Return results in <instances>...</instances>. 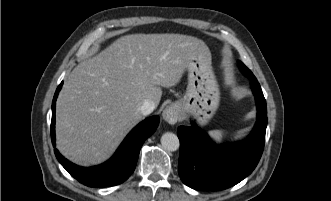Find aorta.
Segmentation results:
<instances>
[{"label":"aorta","instance_id":"obj_1","mask_svg":"<svg viewBox=\"0 0 331 201\" xmlns=\"http://www.w3.org/2000/svg\"><path fill=\"white\" fill-rule=\"evenodd\" d=\"M161 145L167 151H176L179 148V139L177 135L166 132L161 137Z\"/></svg>","mask_w":331,"mask_h":201}]
</instances>
